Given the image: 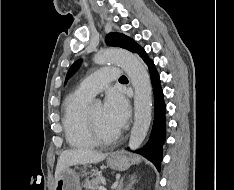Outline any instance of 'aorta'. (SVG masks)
<instances>
[{"label": "aorta", "instance_id": "aorta-1", "mask_svg": "<svg viewBox=\"0 0 234 190\" xmlns=\"http://www.w3.org/2000/svg\"><path fill=\"white\" fill-rule=\"evenodd\" d=\"M95 62L118 64L130 78L135 96L134 125L131 130L129 147L135 150L144 141L151 123L152 88L148 72L136 55L124 49H102L95 55Z\"/></svg>", "mask_w": 234, "mask_h": 190}]
</instances>
